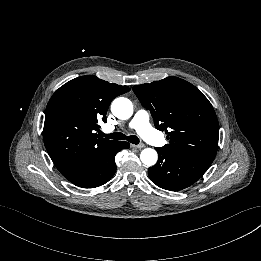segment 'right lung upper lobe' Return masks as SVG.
Instances as JSON below:
<instances>
[{
	"label": "right lung upper lobe",
	"instance_id": "obj_1",
	"mask_svg": "<svg viewBox=\"0 0 261 261\" xmlns=\"http://www.w3.org/2000/svg\"><path fill=\"white\" fill-rule=\"evenodd\" d=\"M130 91L93 75L75 78L51 97L45 112L44 144L60 173L72 172L121 142L100 137L111 101Z\"/></svg>",
	"mask_w": 261,
	"mask_h": 261
}]
</instances>
